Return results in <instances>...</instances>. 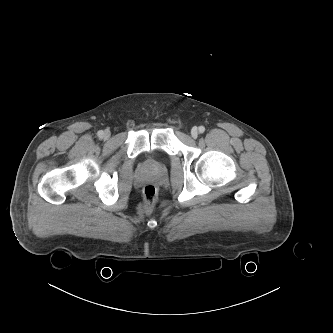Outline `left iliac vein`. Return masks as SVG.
Returning a JSON list of instances; mask_svg holds the SVG:
<instances>
[{"label": "left iliac vein", "mask_w": 333, "mask_h": 333, "mask_svg": "<svg viewBox=\"0 0 333 333\" xmlns=\"http://www.w3.org/2000/svg\"><path fill=\"white\" fill-rule=\"evenodd\" d=\"M191 136L193 138H197L198 137V129L196 127H194L192 130H191Z\"/></svg>", "instance_id": "obj_1"}]
</instances>
